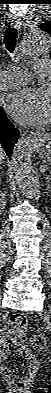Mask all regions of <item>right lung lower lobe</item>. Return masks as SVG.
Listing matches in <instances>:
<instances>
[{"label": "right lung lower lobe", "mask_w": 51, "mask_h": 393, "mask_svg": "<svg viewBox=\"0 0 51 393\" xmlns=\"http://www.w3.org/2000/svg\"><path fill=\"white\" fill-rule=\"evenodd\" d=\"M19 138V130L9 121L3 109L0 110V150L3 148L11 157L13 147Z\"/></svg>", "instance_id": "right-lung-lower-lobe-1"}]
</instances>
